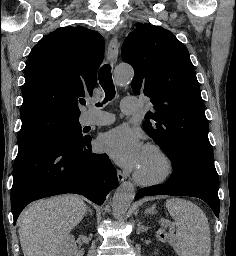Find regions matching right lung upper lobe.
<instances>
[{
  "mask_svg": "<svg viewBox=\"0 0 236 256\" xmlns=\"http://www.w3.org/2000/svg\"><path fill=\"white\" fill-rule=\"evenodd\" d=\"M103 55V37L83 26L44 36L26 62L21 119L43 111L79 118L78 98L92 96Z\"/></svg>",
  "mask_w": 236,
  "mask_h": 256,
  "instance_id": "1",
  "label": "right lung upper lobe"
}]
</instances>
